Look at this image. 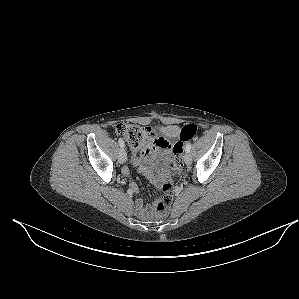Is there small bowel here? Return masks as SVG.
I'll use <instances>...</instances> for the list:
<instances>
[{"label":"small bowel","instance_id":"obj_1","mask_svg":"<svg viewBox=\"0 0 299 299\" xmlns=\"http://www.w3.org/2000/svg\"><path fill=\"white\" fill-rule=\"evenodd\" d=\"M149 130L148 137L142 148L137 149L131 147L130 162L133 165L139 166V171L146 175L152 183L156 186L161 184L169 177V170L167 168L171 161V152L174 144L168 140H176L180 137V127L177 125H163L160 126V132L164 136H156L152 129ZM161 153L162 159L158 160L157 154ZM159 166V168H157ZM123 174L129 175L127 167L123 168ZM133 192H137L136 184H131ZM136 209L142 216H148L151 212L149 207H145L141 199L136 201Z\"/></svg>","mask_w":299,"mask_h":299}]
</instances>
